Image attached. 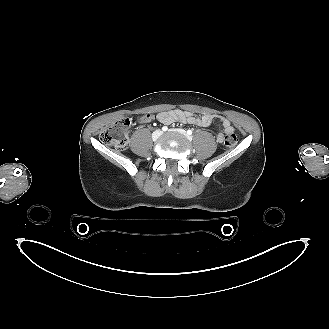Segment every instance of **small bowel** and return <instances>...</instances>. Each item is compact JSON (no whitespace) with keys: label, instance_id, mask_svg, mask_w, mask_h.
<instances>
[{"label":"small bowel","instance_id":"1","mask_svg":"<svg viewBox=\"0 0 329 329\" xmlns=\"http://www.w3.org/2000/svg\"><path fill=\"white\" fill-rule=\"evenodd\" d=\"M159 122L170 125L175 122L179 123H189L192 125L200 127H208L214 121H218L222 126V132L218 133L216 140L222 143L226 136L234 132V127L230 121L223 116H218L214 114H201L196 115L189 111L175 109L169 111H162L157 116Z\"/></svg>","mask_w":329,"mask_h":329}]
</instances>
